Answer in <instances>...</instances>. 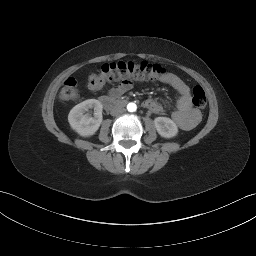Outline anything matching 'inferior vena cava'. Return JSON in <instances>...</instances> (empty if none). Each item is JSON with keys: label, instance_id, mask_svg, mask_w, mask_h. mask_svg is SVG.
<instances>
[{"label": "inferior vena cava", "instance_id": "obj_1", "mask_svg": "<svg viewBox=\"0 0 256 256\" xmlns=\"http://www.w3.org/2000/svg\"><path fill=\"white\" fill-rule=\"evenodd\" d=\"M124 112V109L123 108H121V107H116V108H113L112 110H111V115L112 116H117V115H119V114H122Z\"/></svg>", "mask_w": 256, "mask_h": 256}]
</instances>
